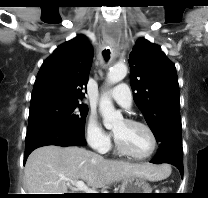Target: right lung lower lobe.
<instances>
[{
	"instance_id": "1",
	"label": "right lung lower lobe",
	"mask_w": 208,
	"mask_h": 198,
	"mask_svg": "<svg viewBox=\"0 0 208 198\" xmlns=\"http://www.w3.org/2000/svg\"><path fill=\"white\" fill-rule=\"evenodd\" d=\"M46 145L85 146L84 136L63 126H47L28 132L25 139L24 164L29 154Z\"/></svg>"
}]
</instances>
